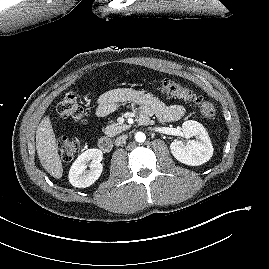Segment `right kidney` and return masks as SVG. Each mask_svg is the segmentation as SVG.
<instances>
[{
    "label": "right kidney",
    "instance_id": "ca27d5eb",
    "mask_svg": "<svg viewBox=\"0 0 269 269\" xmlns=\"http://www.w3.org/2000/svg\"><path fill=\"white\" fill-rule=\"evenodd\" d=\"M103 153L99 149H88L78 156L69 171V182L78 188L91 186L100 177L103 165ZM91 160L90 170L87 163Z\"/></svg>",
    "mask_w": 269,
    "mask_h": 269
}]
</instances>
